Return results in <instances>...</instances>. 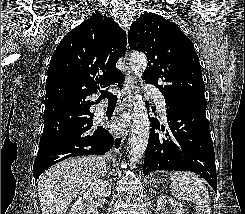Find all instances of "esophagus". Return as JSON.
Here are the masks:
<instances>
[{
    "label": "esophagus",
    "mask_w": 245,
    "mask_h": 214,
    "mask_svg": "<svg viewBox=\"0 0 245 214\" xmlns=\"http://www.w3.org/2000/svg\"><path fill=\"white\" fill-rule=\"evenodd\" d=\"M127 55L124 58V73H125V82L122 95L119 99L121 106L128 110V114L126 117L127 124H131L132 119V95L134 91V76L130 71L127 64ZM125 131L121 129H117L114 132V146L113 149L115 152H119L122 148L125 139Z\"/></svg>",
    "instance_id": "1"
}]
</instances>
